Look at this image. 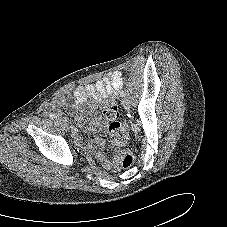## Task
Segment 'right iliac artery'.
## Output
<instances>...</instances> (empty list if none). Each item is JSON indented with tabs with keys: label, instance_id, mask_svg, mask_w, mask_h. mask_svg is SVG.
Here are the masks:
<instances>
[{
	"label": "right iliac artery",
	"instance_id": "1",
	"mask_svg": "<svg viewBox=\"0 0 227 227\" xmlns=\"http://www.w3.org/2000/svg\"><path fill=\"white\" fill-rule=\"evenodd\" d=\"M51 119H57V116L55 115V114H50V116H49Z\"/></svg>",
	"mask_w": 227,
	"mask_h": 227
}]
</instances>
